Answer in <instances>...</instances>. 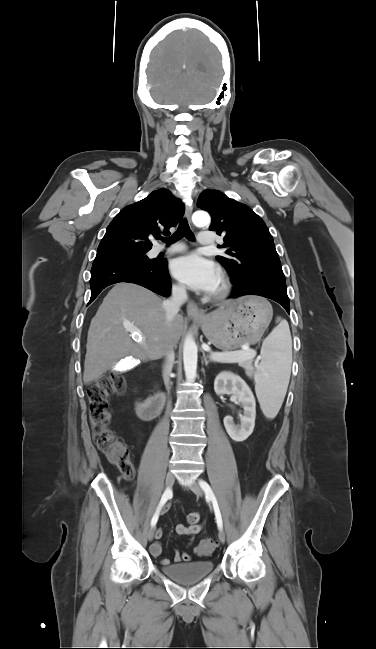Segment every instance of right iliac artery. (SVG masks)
<instances>
[{
    "mask_svg": "<svg viewBox=\"0 0 376 649\" xmlns=\"http://www.w3.org/2000/svg\"><path fill=\"white\" fill-rule=\"evenodd\" d=\"M171 496H172V490L170 488H167L165 490V492L163 493L162 497H161V500L159 502V505H158V507L156 509V512H155L154 516L152 517L151 526L156 525V523L158 521V518H159V512H160L161 508L167 502V500L171 498Z\"/></svg>",
    "mask_w": 376,
    "mask_h": 649,
    "instance_id": "right-iliac-artery-1",
    "label": "right iliac artery"
}]
</instances>
